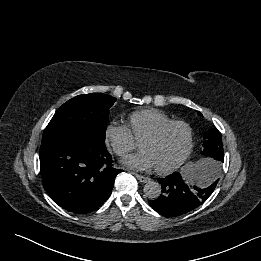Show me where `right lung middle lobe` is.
<instances>
[{
	"label": "right lung middle lobe",
	"mask_w": 261,
	"mask_h": 261,
	"mask_svg": "<svg viewBox=\"0 0 261 261\" xmlns=\"http://www.w3.org/2000/svg\"><path fill=\"white\" fill-rule=\"evenodd\" d=\"M116 98L91 93L64 103L44 130L42 142L71 135H90L105 140L109 108Z\"/></svg>",
	"instance_id": "right-lung-middle-lobe-1"
}]
</instances>
